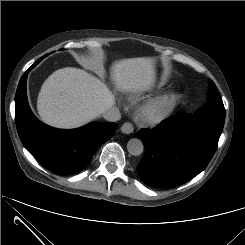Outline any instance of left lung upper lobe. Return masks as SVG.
Listing matches in <instances>:
<instances>
[{
    "label": "left lung upper lobe",
    "instance_id": "1",
    "mask_svg": "<svg viewBox=\"0 0 245 245\" xmlns=\"http://www.w3.org/2000/svg\"><path fill=\"white\" fill-rule=\"evenodd\" d=\"M196 114L225 120V108L213 81L209 82L208 99Z\"/></svg>",
    "mask_w": 245,
    "mask_h": 245
}]
</instances>
